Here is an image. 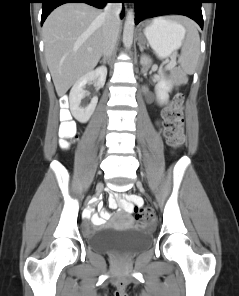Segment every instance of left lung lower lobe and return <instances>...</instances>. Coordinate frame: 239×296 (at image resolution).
I'll return each instance as SVG.
<instances>
[{
  "label": "left lung lower lobe",
  "mask_w": 239,
  "mask_h": 296,
  "mask_svg": "<svg viewBox=\"0 0 239 296\" xmlns=\"http://www.w3.org/2000/svg\"><path fill=\"white\" fill-rule=\"evenodd\" d=\"M134 3L136 24L145 18L179 14L193 19L203 29L201 3L204 0H134Z\"/></svg>",
  "instance_id": "1"
}]
</instances>
